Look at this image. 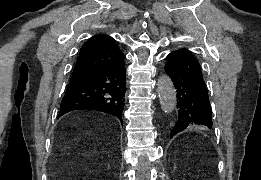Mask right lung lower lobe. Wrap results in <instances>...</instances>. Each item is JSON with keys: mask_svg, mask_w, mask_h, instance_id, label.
I'll use <instances>...</instances> for the list:
<instances>
[{"mask_svg": "<svg viewBox=\"0 0 261 180\" xmlns=\"http://www.w3.org/2000/svg\"><path fill=\"white\" fill-rule=\"evenodd\" d=\"M126 91L124 61L114 66L95 68L69 83L60 104L59 116L78 109L113 114L121 123Z\"/></svg>", "mask_w": 261, "mask_h": 180, "instance_id": "obj_1", "label": "right lung lower lobe"}]
</instances>
